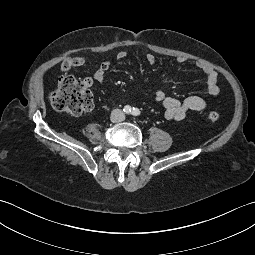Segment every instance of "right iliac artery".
<instances>
[{
  "instance_id": "1",
  "label": "right iliac artery",
  "mask_w": 255,
  "mask_h": 255,
  "mask_svg": "<svg viewBox=\"0 0 255 255\" xmlns=\"http://www.w3.org/2000/svg\"><path fill=\"white\" fill-rule=\"evenodd\" d=\"M123 111L126 113V114H129L131 113V107L129 105H126L123 109Z\"/></svg>"
}]
</instances>
